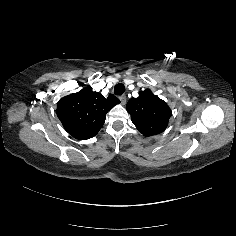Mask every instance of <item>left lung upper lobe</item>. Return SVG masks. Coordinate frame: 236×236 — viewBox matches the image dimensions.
<instances>
[{"instance_id":"1","label":"left lung upper lobe","mask_w":236,"mask_h":236,"mask_svg":"<svg viewBox=\"0 0 236 236\" xmlns=\"http://www.w3.org/2000/svg\"><path fill=\"white\" fill-rule=\"evenodd\" d=\"M136 128L146 137L163 132L171 116L169 106L147 89L126 105Z\"/></svg>"}]
</instances>
